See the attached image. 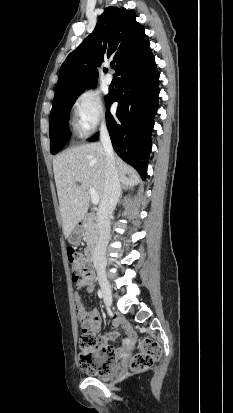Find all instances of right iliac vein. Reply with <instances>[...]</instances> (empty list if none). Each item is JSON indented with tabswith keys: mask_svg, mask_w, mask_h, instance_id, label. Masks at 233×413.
<instances>
[{
	"mask_svg": "<svg viewBox=\"0 0 233 413\" xmlns=\"http://www.w3.org/2000/svg\"><path fill=\"white\" fill-rule=\"evenodd\" d=\"M99 283H100V286H101V290H102V293H103V296H104V301H105L106 305L111 306V304H112V294H111V288H110L109 282L105 278L100 277Z\"/></svg>",
	"mask_w": 233,
	"mask_h": 413,
	"instance_id": "right-iliac-vein-1",
	"label": "right iliac vein"
}]
</instances>
